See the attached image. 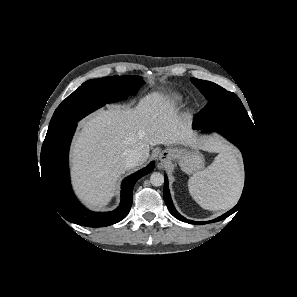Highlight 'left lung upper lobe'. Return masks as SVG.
Returning a JSON list of instances; mask_svg holds the SVG:
<instances>
[{
  "label": "left lung upper lobe",
  "mask_w": 297,
  "mask_h": 297,
  "mask_svg": "<svg viewBox=\"0 0 297 297\" xmlns=\"http://www.w3.org/2000/svg\"><path fill=\"white\" fill-rule=\"evenodd\" d=\"M191 82L208 100L194 123L203 127L229 124L255 133V126L236 94L213 82L196 78H191Z\"/></svg>",
  "instance_id": "left-lung-upper-lobe-1"
}]
</instances>
